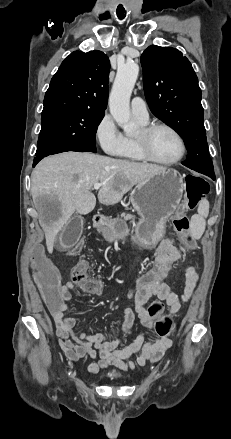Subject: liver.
I'll use <instances>...</instances> for the list:
<instances>
[{
    "mask_svg": "<svg viewBox=\"0 0 231 439\" xmlns=\"http://www.w3.org/2000/svg\"><path fill=\"white\" fill-rule=\"evenodd\" d=\"M162 170L165 168L154 164L88 152H65L44 158L32 172L31 193L48 252H53L58 233L74 212L86 215L95 208L96 197L91 192L95 183L102 184L99 202L114 205L134 185Z\"/></svg>",
    "mask_w": 231,
    "mask_h": 439,
    "instance_id": "obj_1",
    "label": "liver"
}]
</instances>
